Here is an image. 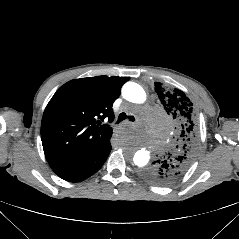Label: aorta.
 I'll return each mask as SVG.
<instances>
[{
  "label": "aorta",
  "instance_id": "obj_1",
  "mask_svg": "<svg viewBox=\"0 0 239 239\" xmlns=\"http://www.w3.org/2000/svg\"><path fill=\"white\" fill-rule=\"evenodd\" d=\"M122 96L132 103H144L146 100V93L144 89L134 82H127L122 88ZM153 153L150 152L148 147H142L135 149L132 160L134 164L138 167L146 166Z\"/></svg>",
  "mask_w": 239,
  "mask_h": 239
}]
</instances>
